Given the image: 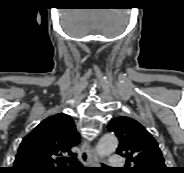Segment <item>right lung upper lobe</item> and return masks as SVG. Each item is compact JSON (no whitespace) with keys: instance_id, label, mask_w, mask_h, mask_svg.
<instances>
[{"instance_id":"1","label":"right lung upper lobe","mask_w":184,"mask_h":173,"mask_svg":"<svg viewBox=\"0 0 184 173\" xmlns=\"http://www.w3.org/2000/svg\"><path fill=\"white\" fill-rule=\"evenodd\" d=\"M80 143V135L69 115L56 114L42 121L22 141L13 173H66L65 155Z\"/></svg>"}]
</instances>
